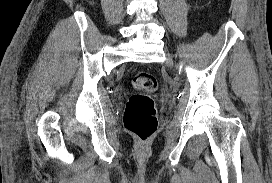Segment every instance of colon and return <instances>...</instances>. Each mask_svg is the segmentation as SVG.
<instances>
[{"label":"colon","mask_w":272,"mask_h":183,"mask_svg":"<svg viewBox=\"0 0 272 183\" xmlns=\"http://www.w3.org/2000/svg\"><path fill=\"white\" fill-rule=\"evenodd\" d=\"M132 85L137 92L130 96L126 104L124 126L144 143L157 129L156 106L151 94L157 90L158 81L152 73L141 71L134 76Z\"/></svg>","instance_id":"obj_1"}]
</instances>
